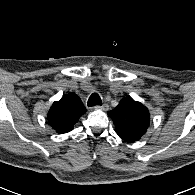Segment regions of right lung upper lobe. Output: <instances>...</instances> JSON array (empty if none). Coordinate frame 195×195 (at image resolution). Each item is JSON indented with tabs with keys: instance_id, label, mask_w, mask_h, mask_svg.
Masks as SVG:
<instances>
[{
	"instance_id": "obj_1",
	"label": "right lung upper lobe",
	"mask_w": 195,
	"mask_h": 195,
	"mask_svg": "<svg viewBox=\"0 0 195 195\" xmlns=\"http://www.w3.org/2000/svg\"><path fill=\"white\" fill-rule=\"evenodd\" d=\"M86 111L79 96L69 93L52 104L47 118L51 127L63 134L73 130L75 123Z\"/></svg>"
}]
</instances>
